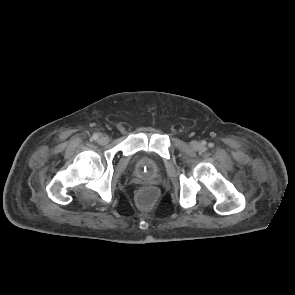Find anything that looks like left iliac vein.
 <instances>
[{
    "instance_id": "left-iliac-vein-1",
    "label": "left iliac vein",
    "mask_w": 295,
    "mask_h": 295,
    "mask_svg": "<svg viewBox=\"0 0 295 295\" xmlns=\"http://www.w3.org/2000/svg\"><path fill=\"white\" fill-rule=\"evenodd\" d=\"M191 146H192L193 148H197V147H199V143L196 142V141H193V142L191 143Z\"/></svg>"
}]
</instances>
